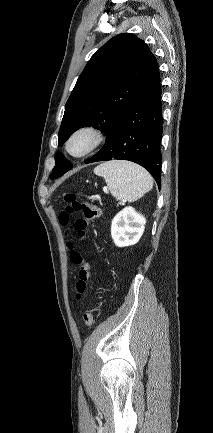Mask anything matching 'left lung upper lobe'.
I'll return each mask as SVG.
<instances>
[{
  "label": "left lung upper lobe",
  "mask_w": 213,
  "mask_h": 433,
  "mask_svg": "<svg viewBox=\"0 0 213 433\" xmlns=\"http://www.w3.org/2000/svg\"><path fill=\"white\" fill-rule=\"evenodd\" d=\"M156 63L145 42L131 33L119 34L98 49L79 76L65 105L58 145L84 126H93L107 138ZM55 161L52 179L72 168L61 153L56 155Z\"/></svg>",
  "instance_id": "1"
}]
</instances>
